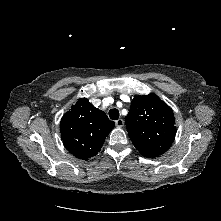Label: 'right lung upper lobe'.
<instances>
[{
    "mask_svg": "<svg viewBox=\"0 0 221 221\" xmlns=\"http://www.w3.org/2000/svg\"><path fill=\"white\" fill-rule=\"evenodd\" d=\"M114 125L103 111L86 98H81L63 115L60 133L64 146L71 154L88 160L101 150Z\"/></svg>",
    "mask_w": 221,
    "mask_h": 221,
    "instance_id": "obj_1",
    "label": "right lung upper lobe"
}]
</instances>
